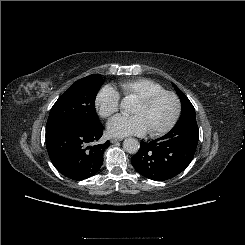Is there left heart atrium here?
<instances>
[{
	"mask_svg": "<svg viewBox=\"0 0 245 245\" xmlns=\"http://www.w3.org/2000/svg\"><path fill=\"white\" fill-rule=\"evenodd\" d=\"M147 129L142 119L137 116H117L108 123V133L115 137L144 135Z\"/></svg>",
	"mask_w": 245,
	"mask_h": 245,
	"instance_id": "39dd6f15",
	"label": "left heart atrium"
}]
</instances>
